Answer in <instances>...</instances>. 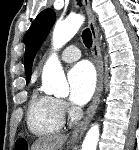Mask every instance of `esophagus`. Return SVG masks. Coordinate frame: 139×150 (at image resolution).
<instances>
[{"label": "esophagus", "instance_id": "obj_1", "mask_svg": "<svg viewBox=\"0 0 139 150\" xmlns=\"http://www.w3.org/2000/svg\"><path fill=\"white\" fill-rule=\"evenodd\" d=\"M84 6L86 13L88 15V24L89 28L92 34V40H93V57L97 69V87L96 91L94 94V97L89 105V107L86 110L85 116L82 119V121L75 127L73 130L69 141L71 143L78 142L82 136L84 135L90 120L92 119L99 103H100V98L101 94L103 91V62L101 58V49L99 45V40H98V32H97V27L95 25V20H94V15L91 9L90 5V0H83Z\"/></svg>", "mask_w": 139, "mask_h": 150}]
</instances>
